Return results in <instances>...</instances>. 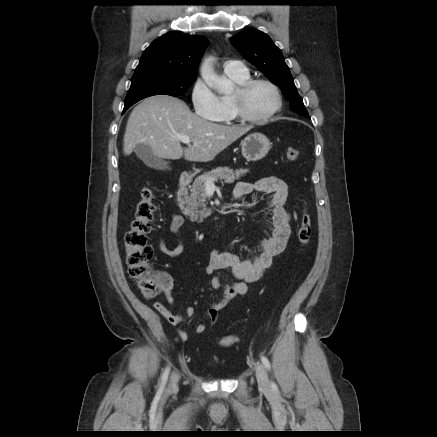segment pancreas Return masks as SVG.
Here are the masks:
<instances>
[{"label":"pancreas","mask_w":437,"mask_h":437,"mask_svg":"<svg viewBox=\"0 0 437 437\" xmlns=\"http://www.w3.org/2000/svg\"><path fill=\"white\" fill-rule=\"evenodd\" d=\"M247 172V169H239L234 171L229 167H218L198 176L190 188V193H186L184 196L183 204L186 205L184 214L189 216L190 220L193 222H202L203 219L211 215V209L207 208L204 185V182L207 178H211L213 181L220 180L221 182L225 183H233Z\"/></svg>","instance_id":"1"}]
</instances>
